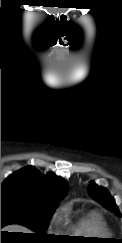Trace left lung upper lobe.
<instances>
[{"label": "left lung upper lobe", "mask_w": 122, "mask_h": 243, "mask_svg": "<svg viewBox=\"0 0 122 243\" xmlns=\"http://www.w3.org/2000/svg\"><path fill=\"white\" fill-rule=\"evenodd\" d=\"M88 193L100 204H102L105 208L113 211L118 216H121L117 206L115 205V201L107 189L96 185L94 182L89 184Z\"/></svg>", "instance_id": "5c2ea615"}]
</instances>
